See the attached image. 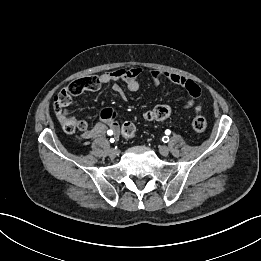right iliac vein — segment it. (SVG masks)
Returning <instances> with one entry per match:
<instances>
[{
    "label": "right iliac vein",
    "mask_w": 261,
    "mask_h": 261,
    "mask_svg": "<svg viewBox=\"0 0 261 261\" xmlns=\"http://www.w3.org/2000/svg\"><path fill=\"white\" fill-rule=\"evenodd\" d=\"M108 155H109L110 158H115L118 155V151L114 148H111L108 151Z\"/></svg>",
    "instance_id": "63e3f726"
}]
</instances>
